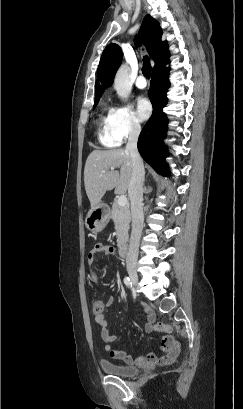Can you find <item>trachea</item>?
<instances>
[{
  "mask_svg": "<svg viewBox=\"0 0 243 409\" xmlns=\"http://www.w3.org/2000/svg\"><path fill=\"white\" fill-rule=\"evenodd\" d=\"M142 73L143 75L147 78L150 79L151 76V65L149 62V58L145 56L143 58V68H142Z\"/></svg>",
  "mask_w": 243,
  "mask_h": 409,
  "instance_id": "obj_1",
  "label": "trachea"
}]
</instances>
